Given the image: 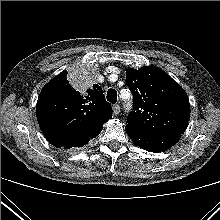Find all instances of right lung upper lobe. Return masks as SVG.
Wrapping results in <instances>:
<instances>
[{"mask_svg":"<svg viewBox=\"0 0 220 220\" xmlns=\"http://www.w3.org/2000/svg\"><path fill=\"white\" fill-rule=\"evenodd\" d=\"M36 113L45 138L55 147L87 136L112 117L111 105L98 84L80 93L69 83L66 71L43 87Z\"/></svg>","mask_w":220,"mask_h":220,"instance_id":"obj_1","label":"right lung upper lobe"}]
</instances>
